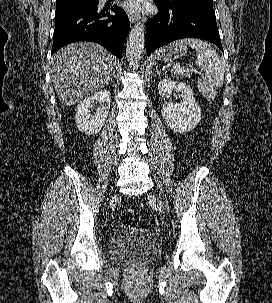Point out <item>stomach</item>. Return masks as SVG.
Segmentation results:
<instances>
[{"instance_id":"0dacf381","label":"stomach","mask_w":272,"mask_h":303,"mask_svg":"<svg viewBox=\"0 0 272 303\" xmlns=\"http://www.w3.org/2000/svg\"><path fill=\"white\" fill-rule=\"evenodd\" d=\"M186 52V45H181L180 41H176L160 49L158 52V57L163 62H172L184 56Z\"/></svg>"}]
</instances>
